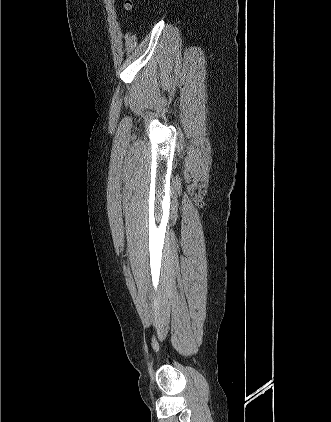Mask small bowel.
Listing matches in <instances>:
<instances>
[{
    "label": "small bowel",
    "mask_w": 331,
    "mask_h": 422,
    "mask_svg": "<svg viewBox=\"0 0 331 422\" xmlns=\"http://www.w3.org/2000/svg\"><path fill=\"white\" fill-rule=\"evenodd\" d=\"M110 3H113L114 2V0H108Z\"/></svg>",
    "instance_id": "obj_1"
}]
</instances>
